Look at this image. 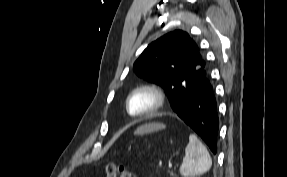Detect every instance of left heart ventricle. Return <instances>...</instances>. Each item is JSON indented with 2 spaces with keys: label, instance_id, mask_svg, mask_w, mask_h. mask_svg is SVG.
Returning <instances> with one entry per match:
<instances>
[{
  "label": "left heart ventricle",
  "instance_id": "left-heart-ventricle-1",
  "mask_svg": "<svg viewBox=\"0 0 287 177\" xmlns=\"http://www.w3.org/2000/svg\"><path fill=\"white\" fill-rule=\"evenodd\" d=\"M153 99L152 97L147 93H138L136 94L130 102V110L132 113H139L147 109Z\"/></svg>",
  "mask_w": 287,
  "mask_h": 177
}]
</instances>
